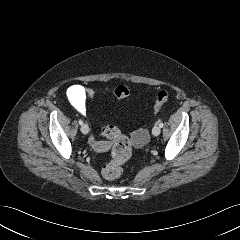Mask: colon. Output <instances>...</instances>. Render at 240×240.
Returning <instances> with one entry per match:
<instances>
[{"instance_id":"obj_1","label":"colon","mask_w":240,"mask_h":240,"mask_svg":"<svg viewBox=\"0 0 240 240\" xmlns=\"http://www.w3.org/2000/svg\"><path fill=\"white\" fill-rule=\"evenodd\" d=\"M85 92L89 99L94 98L95 91L93 88L86 87ZM114 95L117 100H123L130 95V90L124 85H119L115 88ZM169 99L170 93L167 90L159 91L153 105V111L158 112ZM101 134L112 140L111 160L103 167L102 174L107 180H117L122 174L123 165L131 157L133 140L129 139L113 125L102 127Z\"/></svg>"}]
</instances>
